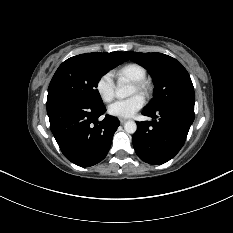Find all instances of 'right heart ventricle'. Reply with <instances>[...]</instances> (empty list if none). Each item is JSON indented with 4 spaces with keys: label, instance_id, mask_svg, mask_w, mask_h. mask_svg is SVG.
<instances>
[{
    "label": "right heart ventricle",
    "instance_id": "e07e8e85",
    "mask_svg": "<svg viewBox=\"0 0 233 233\" xmlns=\"http://www.w3.org/2000/svg\"><path fill=\"white\" fill-rule=\"evenodd\" d=\"M114 74L118 79L130 82L145 80L147 77L145 67L138 63H127L118 68Z\"/></svg>",
    "mask_w": 233,
    "mask_h": 233
}]
</instances>
